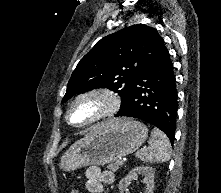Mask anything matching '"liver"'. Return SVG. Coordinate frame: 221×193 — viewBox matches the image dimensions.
<instances>
[{"label":"liver","instance_id":"obj_1","mask_svg":"<svg viewBox=\"0 0 221 193\" xmlns=\"http://www.w3.org/2000/svg\"><path fill=\"white\" fill-rule=\"evenodd\" d=\"M115 119H110V120H108L107 122L108 123H111V122H113Z\"/></svg>","mask_w":221,"mask_h":193}]
</instances>
